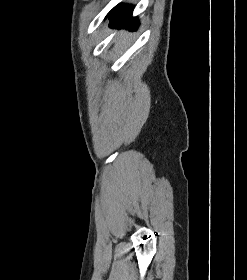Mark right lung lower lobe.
<instances>
[{
    "mask_svg": "<svg viewBox=\"0 0 247 280\" xmlns=\"http://www.w3.org/2000/svg\"><path fill=\"white\" fill-rule=\"evenodd\" d=\"M132 12V5H117L109 12L108 18L110 20V26L135 30L139 26V22L136 17H132Z\"/></svg>",
    "mask_w": 247,
    "mask_h": 280,
    "instance_id": "right-lung-lower-lobe-1",
    "label": "right lung lower lobe"
}]
</instances>
